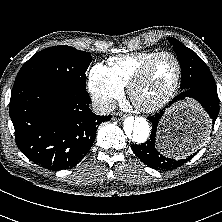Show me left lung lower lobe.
<instances>
[{"label": "left lung lower lobe", "instance_id": "obj_1", "mask_svg": "<svg viewBox=\"0 0 222 222\" xmlns=\"http://www.w3.org/2000/svg\"><path fill=\"white\" fill-rule=\"evenodd\" d=\"M189 70H193V68H190ZM188 97L197 100L206 110L210 117V120L207 119L203 127H195L194 129H191V131L180 137V143L182 144V147H185L187 149L193 148V151L187 153V155H190L205 142L207 134L210 130V125H214L219 113V99L216 89L204 87H191L184 89L181 94L177 95L169 104V106L172 103H175L181 99H185ZM164 110L165 109L159 111L154 116L148 117L152 126L150 138L143 144L131 145L134 154L148 167H151L156 170L175 169L183 165L184 163L192 159L194 155H196V153H194L193 155H190L185 159L174 160L162 156L155 149L157 126L162 119ZM160 162L164 169L159 168Z\"/></svg>", "mask_w": 222, "mask_h": 222}]
</instances>
